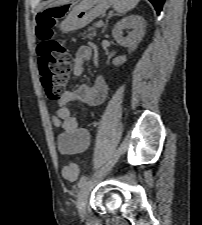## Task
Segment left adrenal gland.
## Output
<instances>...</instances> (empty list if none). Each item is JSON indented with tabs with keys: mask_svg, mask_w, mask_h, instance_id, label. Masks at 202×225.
<instances>
[{
	"mask_svg": "<svg viewBox=\"0 0 202 225\" xmlns=\"http://www.w3.org/2000/svg\"><path fill=\"white\" fill-rule=\"evenodd\" d=\"M107 22H108V19L106 20V24L104 25V28H103V31H102V33L105 31V29H106V26H107Z\"/></svg>",
	"mask_w": 202,
	"mask_h": 225,
	"instance_id": "a2214340",
	"label": "left adrenal gland"
}]
</instances>
